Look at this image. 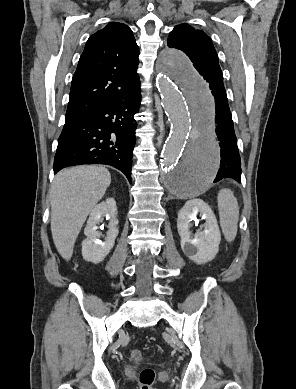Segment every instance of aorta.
Returning <instances> with one entry per match:
<instances>
[{"label": "aorta", "mask_w": 296, "mask_h": 389, "mask_svg": "<svg viewBox=\"0 0 296 389\" xmlns=\"http://www.w3.org/2000/svg\"><path fill=\"white\" fill-rule=\"evenodd\" d=\"M157 69L162 106L171 123L161 154L164 187L179 197H194L208 189L219 169L215 94L179 50H163Z\"/></svg>", "instance_id": "aorta-1"}]
</instances>
